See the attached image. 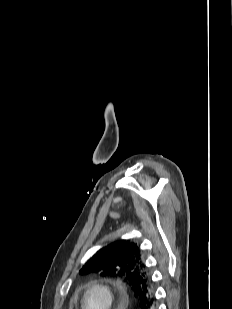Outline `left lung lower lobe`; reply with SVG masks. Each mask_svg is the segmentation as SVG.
I'll list each match as a JSON object with an SVG mask.
<instances>
[{"label":"left lung lower lobe","instance_id":"0a47b994","mask_svg":"<svg viewBox=\"0 0 232 309\" xmlns=\"http://www.w3.org/2000/svg\"><path fill=\"white\" fill-rule=\"evenodd\" d=\"M141 309H156V298L153 295L147 301H142L139 303Z\"/></svg>","mask_w":232,"mask_h":309}]
</instances>
